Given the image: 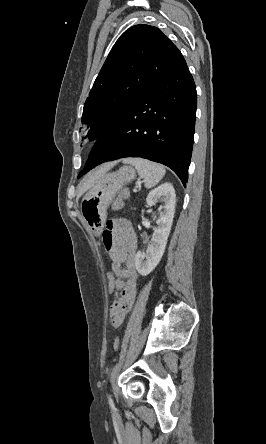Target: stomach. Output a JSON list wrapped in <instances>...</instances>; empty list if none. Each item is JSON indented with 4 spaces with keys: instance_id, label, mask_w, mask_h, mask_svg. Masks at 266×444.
<instances>
[{
    "instance_id": "stomach-1",
    "label": "stomach",
    "mask_w": 266,
    "mask_h": 444,
    "mask_svg": "<svg viewBox=\"0 0 266 444\" xmlns=\"http://www.w3.org/2000/svg\"><path fill=\"white\" fill-rule=\"evenodd\" d=\"M131 166H123L116 172L104 174L85 194L81 201V216L84 223L98 234L104 227L107 209L118 191L135 179Z\"/></svg>"
}]
</instances>
